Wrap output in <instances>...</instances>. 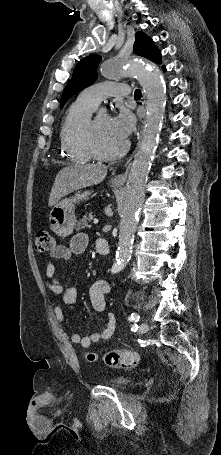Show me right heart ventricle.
<instances>
[{"instance_id":"1","label":"right heart ventricle","mask_w":221,"mask_h":455,"mask_svg":"<svg viewBox=\"0 0 221 455\" xmlns=\"http://www.w3.org/2000/svg\"><path fill=\"white\" fill-rule=\"evenodd\" d=\"M94 107L80 96L69 107L60 130L62 153L72 163H86L91 155L86 145V130Z\"/></svg>"}]
</instances>
